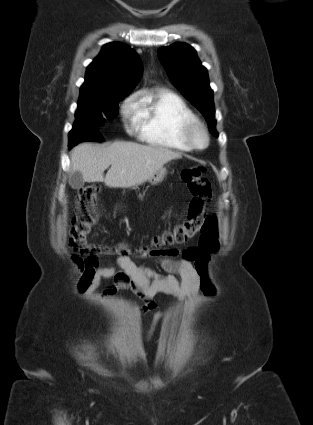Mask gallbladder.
I'll return each mask as SVG.
<instances>
[{"label":"gallbladder","instance_id":"gallbladder-1","mask_svg":"<svg viewBox=\"0 0 313 425\" xmlns=\"http://www.w3.org/2000/svg\"><path fill=\"white\" fill-rule=\"evenodd\" d=\"M84 179L80 172H74L69 178V184L73 189H80L84 186Z\"/></svg>","mask_w":313,"mask_h":425}]
</instances>
